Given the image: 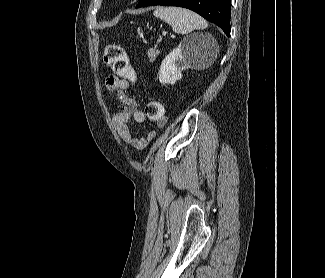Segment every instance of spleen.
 Listing matches in <instances>:
<instances>
[{
    "instance_id": "obj_1",
    "label": "spleen",
    "mask_w": 325,
    "mask_h": 278,
    "mask_svg": "<svg viewBox=\"0 0 325 278\" xmlns=\"http://www.w3.org/2000/svg\"><path fill=\"white\" fill-rule=\"evenodd\" d=\"M153 14L168 23L172 30L179 34L205 29L208 25L198 14L180 7H158Z\"/></svg>"
}]
</instances>
